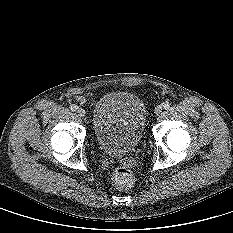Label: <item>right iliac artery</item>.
I'll return each instance as SVG.
<instances>
[{"label":"right iliac artery","instance_id":"82829eb1","mask_svg":"<svg viewBox=\"0 0 233 233\" xmlns=\"http://www.w3.org/2000/svg\"><path fill=\"white\" fill-rule=\"evenodd\" d=\"M70 109H71L72 111H76V110L78 109V106L75 105V104H73V105H71Z\"/></svg>","mask_w":233,"mask_h":233}]
</instances>
